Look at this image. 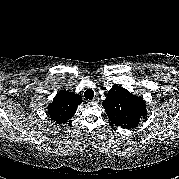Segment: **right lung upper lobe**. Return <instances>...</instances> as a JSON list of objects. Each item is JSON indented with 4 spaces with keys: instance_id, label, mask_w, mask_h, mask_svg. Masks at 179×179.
<instances>
[{
    "instance_id": "right-lung-upper-lobe-1",
    "label": "right lung upper lobe",
    "mask_w": 179,
    "mask_h": 179,
    "mask_svg": "<svg viewBox=\"0 0 179 179\" xmlns=\"http://www.w3.org/2000/svg\"><path fill=\"white\" fill-rule=\"evenodd\" d=\"M79 94L61 90L56 94L51 104L48 105L49 117L56 123H63L75 114L77 106L82 103Z\"/></svg>"
}]
</instances>
